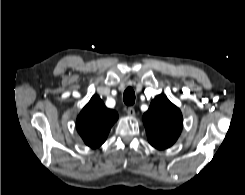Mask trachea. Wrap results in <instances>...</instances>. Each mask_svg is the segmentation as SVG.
Returning <instances> with one entry per match:
<instances>
[{"mask_svg": "<svg viewBox=\"0 0 245 195\" xmlns=\"http://www.w3.org/2000/svg\"><path fill=\"white\" fill-rule=\"evenodd\" d=\"M123 101L128 106H131L135 103V92H134L133 88L128 87L124 91Z\"/></svg>", "mask_w": 245, "mask_h": 195, "instance_id": "obj_1", "label": "trachea"}]
</instances>
